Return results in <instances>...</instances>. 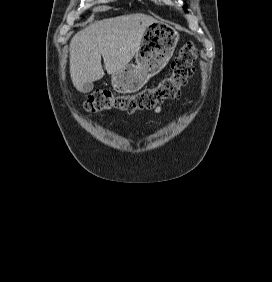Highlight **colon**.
Masks as SVG:
<instances>
[{
	"label": "colon",
	"instance_id": "colon-1",
	"mask_svg": "<svg viewBox=\"0 0 272 282\" xmlns=\"http://www.w3.org/2000/svg\"><path fill=\"white\" fill-rule=\"evenodd\" d=\"M196 58V49L188 42L173 59L170 72L157 85L127 95H117L106 88L100 89L88 97L84 109L90 113L116 109L131 114L151 110L167 100L176 99L180 88L193 74L192 64Z\"/></svg>",
	"mask_w": 272,
	"mask_h": 282
}]
</instances>
